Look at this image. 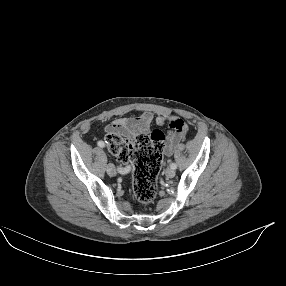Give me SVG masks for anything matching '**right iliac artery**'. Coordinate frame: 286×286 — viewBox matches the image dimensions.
Segmentation results:
<instances>
[{
  "instance_id": "1",
  "label": "right iliac artery",
  "mask_w": 286,
  "mask_h": 286,
  "mask_svg": "<svg viewBox=\"0 0 286 286\" xmlns=\"http://www.w3.org/2000/svg\"><path fill=\"white\" fill-rule=\"evenodd\" d=\"M98 146L99 147H104L105 146V144H104V142L103 141H98ZM125 169H121L120 171H124Z\"/></svg>"
}]
</instances>
